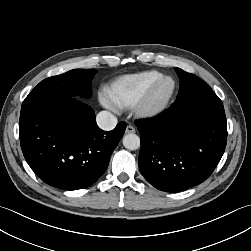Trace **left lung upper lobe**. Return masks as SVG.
<instances>
[{"mask_svg": "<svg viewBox=\"0 0 251 251\" xmlns=\"http://www.w3.org/2000/svg\"><path fill=\"white\" fill-rule=\"evenodd\" d=\"M174 69L180 79L179 93L189 90L194 85H202L205 83L194 74L187 73L180 68H174Z\"/></svg>", "mask_w": 251, "mask_h": 251, "instance_id": "5c2ea615", "label": "left lung upper lobe"}]
</instances>
